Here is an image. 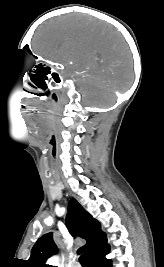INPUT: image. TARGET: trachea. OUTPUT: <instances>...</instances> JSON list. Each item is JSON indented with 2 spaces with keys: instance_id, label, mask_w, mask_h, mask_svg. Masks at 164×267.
<instances>
[{
  "instance_id": "1",
  "label": "trachea",
  "mask_w": 164,
  "mask_h": 267,
  "mask_svg": "<svg viewBox=\"0 0 164 267\" xmlns=\"http://www.w3.org/2000/svg\"><path fill=\"white\" fill-rule=\"evenodd\" d=\"M79 261H80L82 267H88V262H87L85 254H82L80 256Z\"/></svg>"
}]
</instances>
